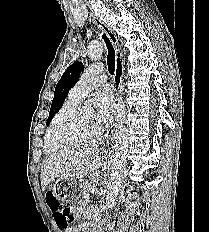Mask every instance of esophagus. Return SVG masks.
<instances>
[{
	"mask_svg": "<svg viewBox=\"0 0 209 232\" xmlns=\"http://www.w3.org/2000/svg\"><path fill=\"white\" fill-rule=\"evenodd\" d=\"M92 20L97 25V27L104 32L108 38L110 39L111 43L115 47L116 50V68H115V75H114V83L118 90L122 89V82H123V56L122 52L119 48L118 40L114 33L109 29V27L101 21L97 16L93 13L90 14ZM114 132V124H111L110 128L107 130L106 134L104 135V139L106 144L113 138Z\"/></svg>",
	"mask_w": 209,
	"mask_h": 232,
	"instance_id": "1",
	"label": "esophagus"
}]
</instances>
